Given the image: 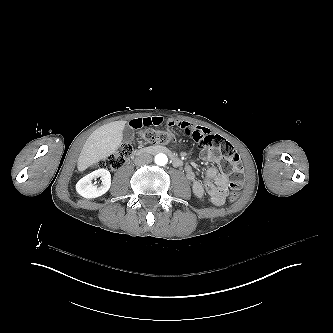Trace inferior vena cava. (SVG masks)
I'll use <instances>...</instances> for the list:
<instances>
[{
	"label": "inferior vena cava",
	"mask_w": 333,
	"mask_h": 333,
	"mask_svg": "<svg viewBox=\"0 0 333 333\" xmlns=\"http://www.w3.org/2000/svg\"><path fill=\"white\" fill-rule=\"evenodd\" d=\"M152 156L147 152H141L134 160L137 166H144L152 162Z\"/></svg>",
	"instance_id": "1"
}]
</instances>
